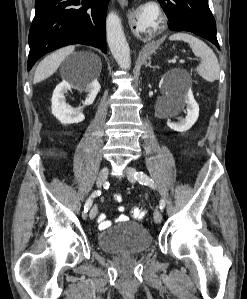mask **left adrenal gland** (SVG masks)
Instances as JSON below:
<instances>
[{
	"label": "left adrenal gland",
	"instance_id": "1",
	"mask_svg": "<svg viewBox=\"0 0 247 299\" xmlns=\"http://www.w3.org/2000/svg\"><path fill=\"white\" fill-rule=\"evenodd\" d=\"M146 67L156 68L154 66H151V59L150 58H148V63L146 64Z\"/></svg>",
	"mask_w": 247,
	"mask_h": 299
}]
</instances>
